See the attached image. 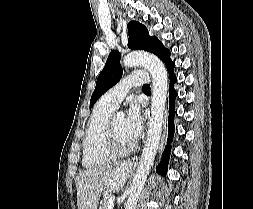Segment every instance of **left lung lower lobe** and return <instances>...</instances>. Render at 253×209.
Returning <instances> with one entry per match:
<instances>
[{
	"mask_svg": "<svg viewBox=\"0 0 253 209\" xmlns=\"http://www.w3.org/2000/svg\"><path fill=\"white\" fill-rule=\"evenodd\" d=\"M175 67L174 62L170 63L167 66V70L169 72V76H170V86H169V94H170V102H169V120H168V138H167V142L168 144L165 147L164 153H163V157H162V161L160 162V164L157 166V171L160 174L165 175L166 171H167V167H168V161H169V155H170V151H171V146H170V142L172 141V138L174 136V114H175V97L177 96V92L174 90V83L176 82V76L173 72Z\"/></svg>",
	"mask_w": 253,
	"mask_h": 209,
	"instance_id": "0a47b994",
	"label": "left lung lower lobe"
}]
</instances>
